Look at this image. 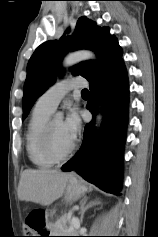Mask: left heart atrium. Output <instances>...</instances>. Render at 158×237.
I'll return each instance as SVG.
<instances>
[{
  "label": "left heart atrium",
  "instance_id": "obj_1",
  "mask_svg": "<svg viewBox=\"0 0 158 237\" xmlns=\"http://www.w3.org/2000/svg\"><path fill=\"white\" fill-rule=\"evenodd\" d=\"M65 135L70 141L74 142L80 131V120L76 111L72 110L62 122Z\"/></svg>",
  "mask_w": 158,
  "mask_h": 237
}]
</instances>
